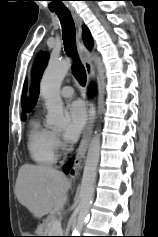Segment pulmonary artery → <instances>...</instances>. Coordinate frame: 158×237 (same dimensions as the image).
I'll return each instance as SVG.
<instances>
[{
	"label": "pulmonary artery",
	"mask_w": 158,
	"mask_h": 237,
	"mask_svg": "<svg viewBox=\"0 0 158 237\" xmlns=\"http://www.w3.org/2000/svg\"><path fill=\"white\" fill-rule=\"evenodd\" d=\"M60 95L64 98H70L74 95V89L71 86H64L60 90Z\"/></svg>",
	"instance_id": "pulmonary-artery-1"
}]
</instances>
